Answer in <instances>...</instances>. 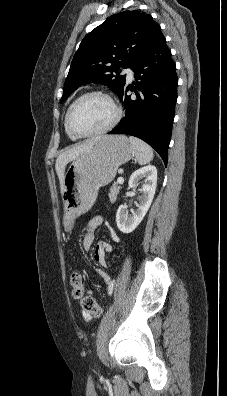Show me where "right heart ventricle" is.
Instances as JSON below:
<instances>
[{"label":"right heart ventricle","instance_id":"right-heart-ventricle-1","mask_svg":"<svg viewBox=\"0 0 227 396\" xmlns=\"http://www.w3.org/2000/svg\"><path fill=\"white\" fill-rule=\"evenodd\" d=\"M64 129H65V132H66L67 136H68L71 140H77V139H78L77 137L73 136V135L68 131L67 126H66L65 119H64Z\"/></svg>","mask_w":227,"mask_h":396}]
</instances>
